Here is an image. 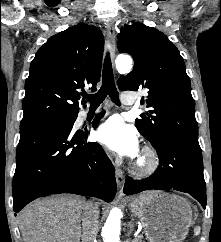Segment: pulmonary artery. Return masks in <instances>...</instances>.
<instances>
[{
    "label": "pulmonary artery",
    "mask_w": 221,
    "mask_h": 242,
    "mask_svg": "<svg viewBox=\"0 0 221 242\" xmlns=\"http://www.w3.org/2000/svg\"><path fill=\"white\" fill-rule=\"evenodd\" d=\"M121 99L123 103L126 105H133L135 103V100L131 92H128V93L124 92L121 96ZM88 114H89V111H85L83 113V116L86 117Z\"/></svg>",
    "instance_id": "pulmonary-artery-1"
}]
</instances>
